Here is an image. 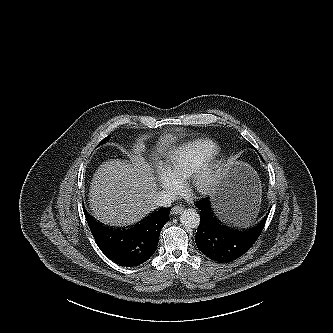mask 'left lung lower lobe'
<instances>
[{
  "instance_id": "obj_1",
  "label": "left lung lower lobe",
  "mask_w": 333,
  "mask_h": 333,
  "mask_svg": "<svg viewBox=\"0 0 333 333\" xmlns=\"http://www.w3.org/2000/svg\"><path fill=\"white\" fill-rule=\"evenodd\" d=\"M195 206L200 210L196 245L204 255L220 263L233 261L246 253L260 236L269 214L256 227L242 230L219 220L209 198L198 201Z\"/></svg>"
}]
</instances>
